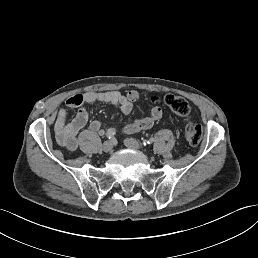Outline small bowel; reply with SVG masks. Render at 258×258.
Returning a JSON list of instances; mask_svg holds the SVG:
<instances>
[{
	"label": "small bowel",
	"mask_w": 258,
	"mask_h": 258,
	"mask_svg": "<svg viewBox=\"0 0 258 258\" xmlns=\"http://www.w3.org/2000/svg\"><path fill=\"white\" fill-rule=\"evenodd\" d=\"M139 100V93L130 90L125 94L119 91H88L70 96L65 104L68 108L78 109L75 117L68 121L67 111L60 109L57 113L54 131L58 144L70 151L78 148V134L88 122V111L85 104L106 103L119 108L124 114L129 115L134 104ZM159 98H150L151 113L149 116L137 118L123 128L125 134H134L151 128L162 117V110L158 105ZM88 129L91 133L104 134V127L98 120L89 123Z\"/></svg>",
	"instance_id": "c3829d8e"
}]
</instances>
